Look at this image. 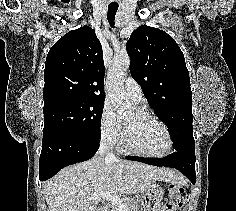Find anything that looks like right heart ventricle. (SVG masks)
Instances as JSON below:
<instances>
[{"instance_id":"1","label":"right heart ventricle","mask_w":236,"mask_h":211,"mask_svg":"<svg viewBox=\"0 0 236 211\" xmlns=\"http://www.w3.org/2000/svg\"><path fill=\"white\" fill-rule=\"evenodd\" d=\"M120 145H121V147H122L123 149L127 150V149L123 146V143H122V142L120 143Z\"/></svg>"}]
</instances>
